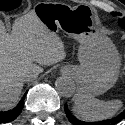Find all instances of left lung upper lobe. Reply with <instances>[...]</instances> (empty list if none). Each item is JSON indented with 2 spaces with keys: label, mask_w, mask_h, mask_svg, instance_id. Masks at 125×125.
Masks as SVG:
<instances>
[{
  "label": "left lung upper lobe",
  "mask_w": 125,
  "mask_h": 125,
  "mask_svg": "<svg viewBox=\"0 0 125 125\" xmlns=\"http://www.w3.org/2000/svg\"><path fill=\"white\" fill-rule=\"evenodd\" d=\"M116 14L121 15L120 13L112 12V15L115 16ZM118 23H119V25H120L122 28L125 29V17H124L123 19H119Z\"/></svg>",
  "instance_id": "5c2ea615"
}]
</instances>
